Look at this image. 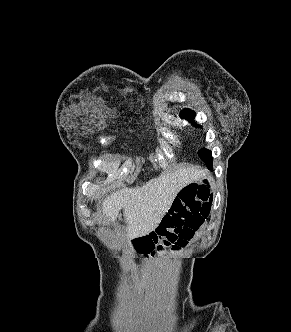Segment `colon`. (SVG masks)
I'll return each mask as SVG.
<instances>
[{
    "instance_id": "1",
    "label": "colon",
    "mask_w": 291,
    "mask_h": 332,
    "mask_svg": "<svg viewBox=\"0 0 291 332\" xmlns=\"http://www.w3.org/2000/svg\"><path fill=\"white\" fill-rule=\"evenodd\" d=\"M211 207L212 196L208 190L197 187L180 191L161 224L154 231L136 239L139 249L147 254H155L166 247L173 250L184 247L209 217Z\"/></svg>"
}]
</instances>
